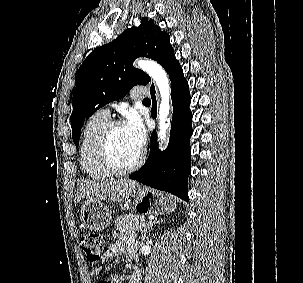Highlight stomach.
I'll return each mask as SVG.
<instances>
[{
	"mask_svg": "<svg viewBox=\"0 0 303 283\" xmlns=\"http://www.w3.org/2000/svg\"><path fill=\"white\" fill-rule=\"evenodd\" d=\"M135 209L145 214H165L176 208L172 197L149 188H137L132 193ZM82 224L93 231H102L109 226L111 213L101 200L87 199L81 204Z\"/></svg>",
	"mask_w": 303,
	"mask_h": 283,
	"instance_id": "obj_1",
	"label": "stomach"
}]
</instances>
